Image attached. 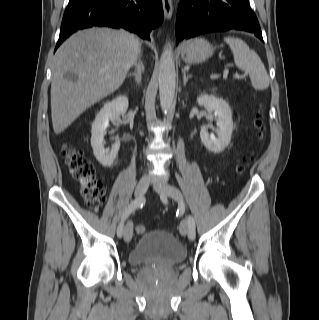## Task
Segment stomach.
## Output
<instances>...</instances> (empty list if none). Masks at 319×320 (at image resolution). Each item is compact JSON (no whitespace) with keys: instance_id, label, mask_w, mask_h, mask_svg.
<instances>
[{"instance_id":"obj_1","label":"stomach","mask_w":319,"mask_h":320,"mask_svg":"<svg viewBox=\"0 0 319 320\" xmlns=\"http://www.w3.org/2000/svg\"><path fill=\"white\" fill-rule=\"evenodd\" d=\"M214 53L213 46L203 38L190 39L181 47V57L188 64L203 63Z\"/></svg>"}]
</instances>
